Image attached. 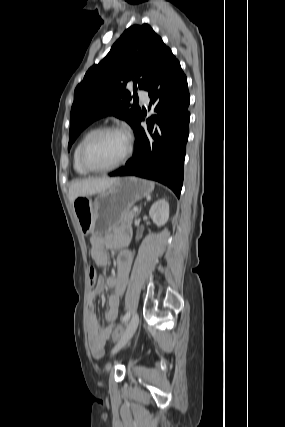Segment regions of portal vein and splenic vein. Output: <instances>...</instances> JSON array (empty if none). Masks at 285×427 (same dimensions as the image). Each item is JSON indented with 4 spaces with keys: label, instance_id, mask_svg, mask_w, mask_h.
I'll return each mask as SVG.
<instances>
[{
    "label": "portal vein and splenic vein",
    "instance_id": "portal-vein-and-splenic-vein-1",
    "mask_svg": "<svg viewBox=\"0 0 285 427\" xmlns=\"http://www.w3.org/2000/svg\"><path fill=\"white\" fill-rule=\"evenodd\" d=\"M133 210H134L135 212H137V211H138V209H137V208H133Z\"/></svg>",
    "mask_w": 285,
    "mask_h": 427
}]
</instances>
